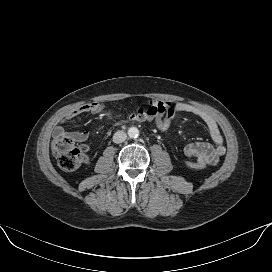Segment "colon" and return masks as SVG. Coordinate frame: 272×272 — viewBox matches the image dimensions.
Segmentation results:
<instances>
[{
	"instance_id": "obj_1",
	"label": "colon",
	"mask_w": 272,
	"mask_h": 272,
	"mask_svg": "<svg viewBox=\"0 0 272 272\" xmlns=\"http://www.w3.org/2000/svg\"><path fill=\"white\" fill-rule=\"evenodd\" d=\"M174 114V109L168 107L163 112H151L146 118L159 130L165 131L170 128ZM52 154L58 165L66 171L75 170L88 162V157L84 151L67 135H60L54 138L52 142ZM185 163L189 168L196 170L206 167L204 163L198 160H185Z\"/></svg>"
}]
</instances>
